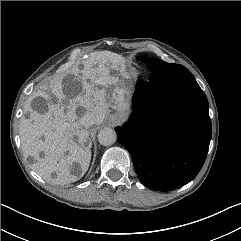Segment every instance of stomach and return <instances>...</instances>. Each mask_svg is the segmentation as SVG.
<instances>
[{"label":"stomach","mask_w":241,"mask_h":241,"mask_svg":"<svg viewBox=\"0 0 241 241\" xmlns=\"http://www.w3.org/2000/svg\"><path fill=\"white\" fill-rule=\"evenodd\" d=\"M121 87H124V84L123 82L119 79V81L114 84L112 87H111V90H109L108 92L111 94L114 90H116L117 88H121Z\"/></svg>","instance_id":"1"}]
</instances>
